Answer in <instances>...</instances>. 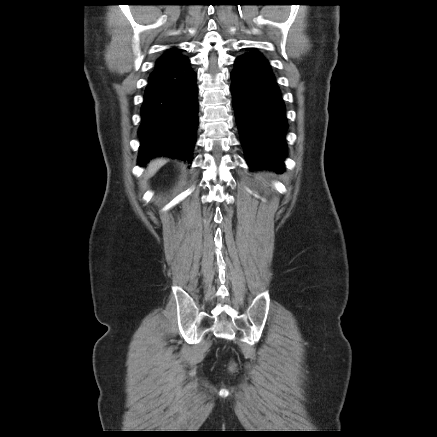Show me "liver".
Wrapping results in <instances>:
<instances>
[{
  "label": "liver",
  "instance_id": "6515ba94",
  "mask_svg": "<svg viewBox=\"0 0 437 437\" xmlns=\"http://www.w3.org/2000/svg\"><path fill=\"white\" fill-rule=\"evenodd\" d=\"M166 162L167 159L165 158L152 160L147 167L146 177L153 176Z\"/></svg>",
  "mask_w": 437,
  "mask_h": 437
}]
</instances>
